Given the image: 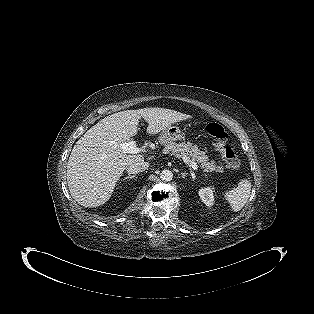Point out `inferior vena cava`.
Instances as JSON below:
<instances>
[{
  "label": "inferior vena cava",
  "mask_w": 314,
  "mask_h": 314,
  "mask_svg": "<svg viewBox=\"0 0 314 314\" xmlns=\"http://www.w3.org/2000/svg\"><path fill=\"white\" fill-rule=\"evenodd\" d=\"M147 168H148V163L143 160V161H136V162L130 163L126 167V171L128 172V174H137V173L145 171Z\"/></svg>",
  "instance_id": "inferior-vena-cava-1"
}]
</instances>
